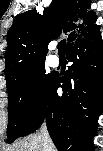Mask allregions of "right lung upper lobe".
<instances>
[{
  "label": "right lung upper lobe",
  "mask_w": 103,
  "mask_h": 151,
  "mask_svg": "<svg viewBox=\"0 0 103 151\" xmlns=\"http://www.w3.org/2000/svg\"><path fill=\"white\" fill-rule=\"evenodd\" d=\"M89 7V1L86 0H53L43 14L36 10L19 14L7 36V87L26 69L45 62L47 46L52 38L67 33L69 45L94 26V14L86 13Z\"/></svg>",
  "instance_id": "obj_1"
}]
</instances>
